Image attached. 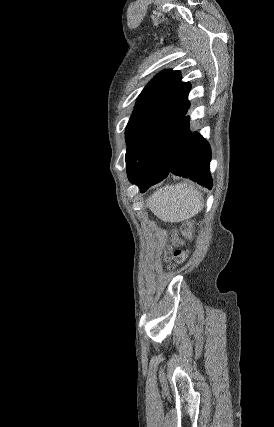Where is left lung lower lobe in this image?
Returning a JSON list of instances; mask_svg holds the SVG:
<instances>
[{
    "label": "left lung lower lobe",
    "instance_id": "obj_1",
    "mask_svg": "<svg viewBox=\"0 0 274 427\" xmlns=\"http://www.w3.org/2000/svg\"><path fill=\"white\" fill-rule=\"evenodd\" d=\"M189 90L190 86L142 140L136 161L128 172L130 182L138 185L142 193L170 172L212 187L209 144L199 133L190 131L189 117L185 116L189 108Z\"/></svg>",
    "mask_w": 274,
    "mask_h": 427
}]
</instances>
